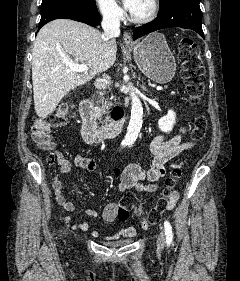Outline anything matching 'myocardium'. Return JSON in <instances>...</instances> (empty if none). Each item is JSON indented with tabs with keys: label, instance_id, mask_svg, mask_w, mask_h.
Segmentation results:
<instances>
[{
	"label": "myocardium",
	"instance_id": "f54148a6",
	"mask_svg": "<svg viewBox=\"0 0 240 281\" xmlns=\"http://www.w3.org/2000/svg\"><path fill=\"white\" fill-rule=\"evenodd\" d=\"M149 10L145 15L136 16L131 13L130 21L136 24H146L152 21L158 12V0H148Z\"/></svg>",
	"mask_w": 240,
	"mask_h": 281
}]
</instances>
